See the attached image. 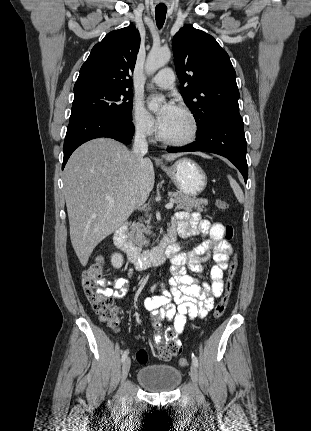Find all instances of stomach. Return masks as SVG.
Here are the masks:
<instances>
[{
  "label": "stomach",
  "instance_id": "1",
  "mask_svg": "<svg viewBox=\"0 0 311 431\" xmlns=\"http://www.w3.org/2000/svg\"><path fill=\"white\" fill-rule=\"evenodd\" d=\"M163 172L172 180L177 192L196 198L207 186V176L197 162L180 158L173 166H162Z\"/></svg>",
  "mask_w": 311,
  "mask_h": 431
}]
</instances>
